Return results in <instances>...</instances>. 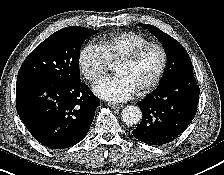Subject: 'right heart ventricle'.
I'll use <instances>...</instances> for the list:
<instances>
[{
    "instance_id": "1",
    "label": "right heart ventricle",
    "mask_w": 224,
    "mask_h": 175,
    "mask_svg": "<svg viewBox=\"0 0 224 175\" xmlns=\"http://www.w3.org/2000/svg\"><path fill=\"white\" fill-rule=\"evenodd\" d=\"M148 42V39L139 33L120 32L102 38L99 46L109 62H117Z\"/></svg>"
}]
</instances>
